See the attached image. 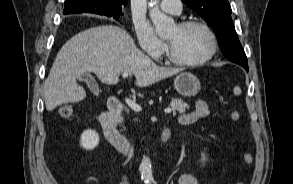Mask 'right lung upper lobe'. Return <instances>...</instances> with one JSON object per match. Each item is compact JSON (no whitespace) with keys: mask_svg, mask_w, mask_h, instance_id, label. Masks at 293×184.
<instances>
[{"mask_svg":"<svg viewBox=\"0 0 293 184\" xmlns=\"http://www.w3.org/2000/svg\"><path fill=\"white\" fill-rule=\"evenodd\" d=\"M126 3L127 0H65L64 14L122 12Z\"/></svg>","mask_w":293,"mask_h":184,"instance_id":"right-lung-upper-lobe-1","label":"right lung upper lobe"}]
</instances>
